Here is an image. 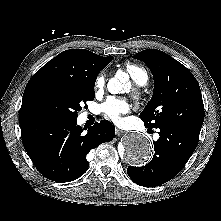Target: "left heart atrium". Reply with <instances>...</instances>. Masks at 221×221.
Here are the masks:
<instances>
[{
	"instance_id": "1",
	"label": "left heart atrium",
	"mask_w": 221,
	"mask_h": 221,
	"mask_svg": "<svg viewBox=\"0 0 221 221\" xmlns=\"http://www.w3.org/2000/svg\"><path fill=\"white\" fill-rule=\"evenodd\" d=\"M130 109L131 106L127 100L115 97H109L102 104L104 116L115 124L122 123V115L128 113Z\"/></svg>"
}]
</instances>
